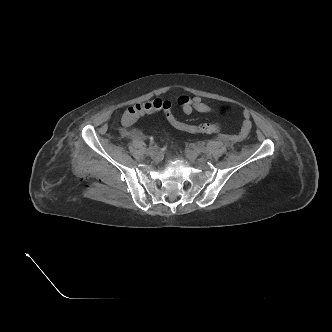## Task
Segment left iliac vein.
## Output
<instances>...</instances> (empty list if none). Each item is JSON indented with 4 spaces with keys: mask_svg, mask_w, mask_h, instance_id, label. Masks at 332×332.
Listing matches in <instances>:
<instances>
[{
    "mask_svg": "<svg viewBox=\"0 0 332 332\" xmlns=\"http://www.w3.org/2000/svg\"><path fill=\"white\" fill-rule=\"evenodd\" d=\"M186 155L190 160H195L198 157V154L191 149L186 150Z\"/></svg>",
    "mask_w": 332,
    "mask_h": 332,
    "instance_id": "obj_1",
    "label": "left iliac vein"
}]
</instances>
